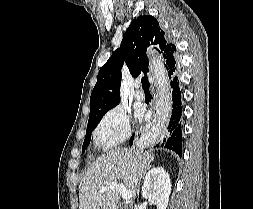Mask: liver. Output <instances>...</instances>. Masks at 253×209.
Listing matches in <instances>:
<instances>
[{"label":"liver","mask_w":253,"mask_h":209,"mask_svg":"<svg viewBox=\"0 0 253 209\" xmlns=\"http://www.w3.org/2000/svg\"><path fill=\"white\" fill-rule=\"evenodd\" d=\"M154 155L135 149H118L97 158L86 170L79 185V209H118L119 192L99 190L109 182L121 181L136 197L138 180L149 169Z\"/></svg>","instance_id":"1"}]
</instances>
